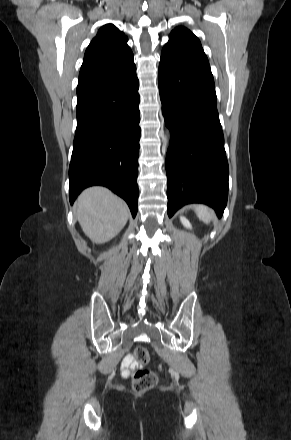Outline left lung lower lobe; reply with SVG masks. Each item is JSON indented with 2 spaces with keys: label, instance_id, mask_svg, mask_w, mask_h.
Returning <instances> with one entry per match:
<instances>
[{
  "label": "left lung lower lobe",
  "instance_id": "obj_1",
  "mask_svg": "<svg viewBox=\"0 0 291 440\" xmlns=\"http://www.w3.org/2000/svg\"><path fill=\"white\" fill-rule=\"evenodd\" d=\"M158 85L171 132L166 155L168 216L206 203L221 217L228 197V162L210 70L161 56Z\"/></svg>",
  "mask_w": 291,
  "mask_h": 440
}]
</instances>
